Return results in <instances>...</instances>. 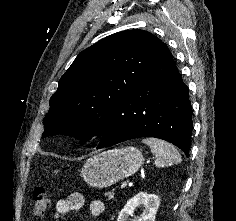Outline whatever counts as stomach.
I'll return each instance as SVG.
<instances>
[{
	"label": "stomach",
	"instance_id": "0dacf381",
	"mask_svg": "<svg viewBox=\"0 0 236 221\" xmlns=\"http://www.w3.org/2000/svg\"><path fill=\"white\" fill-rule=\"evenodd\" d=\"M143 162L136 147L107 150L87 159L81 175L89 186L106 188L136 173Z\"/></svg>",
	"mask_w": 236,
	"mask_h": 221
}]
</instances>
